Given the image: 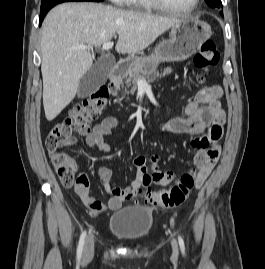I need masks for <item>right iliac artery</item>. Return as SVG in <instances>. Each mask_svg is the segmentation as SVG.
Returning a JSON list of instances; mask_svg holds the SVG:
<instances>
[{
    "label": "right iliac artery",
    "mask_w": 265,
    "mask_h": 269,
    "mask_svg": "<svg viewBox=\"0 0 265 269\" xmlns=\"http://www.w3.org/2000/svg\"><path fill=\"white\" fill-rule=\"evenodd\" d=\"M86 238V231H84L79 239L78 247H77V260L79 261L82 255L83 246Z\"/></svg>",
    "instance_id": "1"
}]
</instances>
